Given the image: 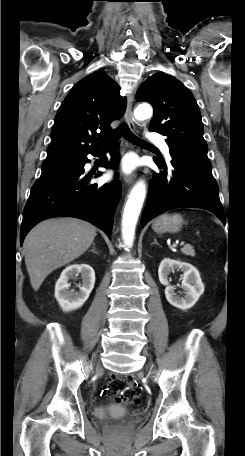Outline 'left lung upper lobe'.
I'll return each instance as SVG.
<instances>
[{
    "mask_svg": "<svg viewBox=\"0 0 245 456\" xmlns=\"http://www.w3.org/2000/svg\"><path fill=\"white\" fill-rule=\"evenodd\" d=\"M136 100L153 106L149 130L167 136L170 149L210 162L198 104L182 82L174 76L154 74L138 89Z\"/></svg>",
    "mask_w": 245,
    "mask_h": 456,
    "instance_id": "1",
    "label": "left lung upper lobe"
}]
</instances>
